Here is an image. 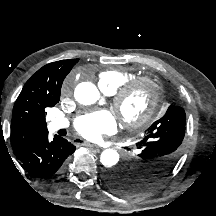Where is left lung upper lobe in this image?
Listing matches in <instances>:
<instances>
[{
    "label": "left lung upper lobe",
    "instance_id": "1",
    "mask_svg": "<svg viewBox=\"0 0 216 216\" xmlns=\"http://www.w3.org/2000/svg\"><path fill=\"white\" fill-rule=\"evenodd\" d=\"M186 114L178 105H170L137 142L138 154L126 161V172L109 183L125 196L148 191L174 168L182 152ZM120 167L112 170H118Z\"/></svg>",
    "mask_w": 216,
    "mask_h": 216
}]
</instances>
